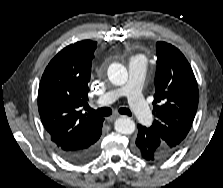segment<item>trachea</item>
<instances>
[{"label":"trachea","mask_w":223,"mask_h":188,"mask_svg":"<svg viewBox=\"0 0 223 188\" xmlns=\"http://www.w3.org/2000/svg\"><path fill=\"white\" fill-rule=\"evenodd\" d=\"M87 110L89 111L90 114L94 116H99V117H107L112 114L111 108H108V107L99 108L97 110H94L88 107ZM119 113L128 115V116L132 115L131 111L128 108H124V107L119 109Z\"/></svg>","instance_id":"obj_1"}]
</instances>
